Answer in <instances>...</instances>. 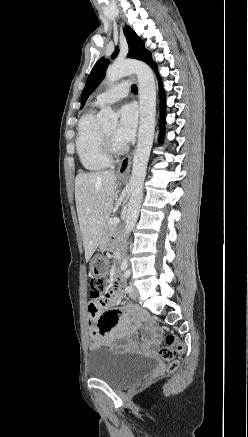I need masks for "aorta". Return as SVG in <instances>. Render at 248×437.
I'll return each mask as SVG.
<instances>
[{
	"label": "aorta",
	"instance_id": "1",
	"mask_svg": "<svg viewBox=\"0 0 248 437\" xmlns=\"http://www.w3.org/2000/svg\"><path fill=\"white\" fill-rule=\"evenodd\" d=\"M133 73L136 74L138 78L140 124L130 179L131 196L125 221L126 236H128L135 227L143 198V183L155 132L156 86L152 70L147 64L141 61L125 60L116 62L110 66L106 72L108 84H113L119 79ZM97 118L103 124L110 126H115L118 120L117 115L110 107L102 109Z\"/></svg>",
	"mask_w": 248,
	"mask_h": 437
}]
</instances>
